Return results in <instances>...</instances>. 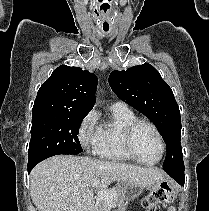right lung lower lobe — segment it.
I'll return each mask as SVG.
<instances>
[{
	"mask_svg": "<svg viewBox=\"0 0 209 211\" xmlns=\"http://www.w3.org/2000/svg\"><path fill=\"white\" fill-rule=\"evenodd\" d=\"M34 166H35V165H29V166H28V172H30Z\"/></svg>",
	"mask_w": 209,
	"mask_h": 211,
	"instance_id": "obj_1",
	"label": "right lung lower lobe"
}]
</instances>
